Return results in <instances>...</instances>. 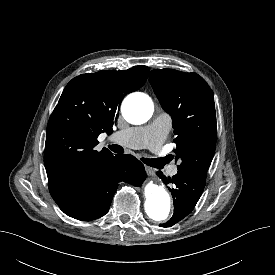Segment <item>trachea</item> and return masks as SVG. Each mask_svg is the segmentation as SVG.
Here are the masks:
<instances>
[{
    "label": "trachea",
    "mask_w": 275,
    "mask_h": 275,
    "mask_svg": "<svg viewBox=\"0 0 275 275\" xmlns=\"http://www.w3.org/2000/svg\"><path fill=\"white\" fill-rule=\"evenodd\" d=\"M108 148L115 153H123L124 152V149L121 146L116 145V144L108 145ZM141 160L146 165L155 167V168H161L163 165L168 163L167 157L155 158V159L141 158Z\"/></svg>",
    "instance_id": "1"
}]
</instances>
